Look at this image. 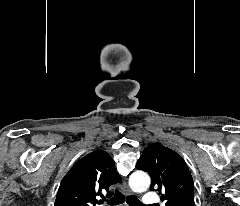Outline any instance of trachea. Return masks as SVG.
I'll return each instance as SVG.
<instances>
[{
  "label": "trachea",
  "instance_id": "3493384b",
  "mask_svg": "<svg viewBox=\"0 0 240 206\" xmlns=\"http://www.w3.org/2000/svg\"><path fill=\"white\" fill-rule=\"evenodd\" d=\"M125 201V197L119 191L115 192V195L108 201V204L117 205ZM103 202V201H102ZM129 206H143V204L136 197L127 198Z\"/></svg>",
  "mask_w": 240,
  "mask_h": 206
}]
</instances>
